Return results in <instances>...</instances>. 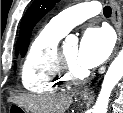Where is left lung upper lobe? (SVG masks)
Wrapping results in <instances>:
<instances>
[{
	"instance_id": "1",
	"label": "left lung upper lobe",
	"mask_w": 123,
	"mask_h": 113,
	"mask_svg": "<svg viewBox=\"0 0 123 113\" xmlns=\"http://www.w3.org/2000/svg\"><path fill=\"white\" fill-rule=\"evenodd\" d=\"M60 0H34L26 11L20 25V53L26 54L32 29Z\"/></svg>"
}]
</instances>
